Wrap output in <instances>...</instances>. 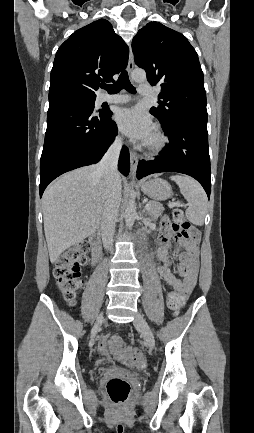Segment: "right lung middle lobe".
<instances>
[{"instance_id":"obj_1","label":"right lung middle lobe","mask_w":254,"mask_h":433,"mask_svg":"<svg viewBox=\"0 0 254 433\" xmlns=\"http://www.w3.org/2000/svg\"><path fill=\"white\" fill-rule=\"evenodd\" d=\"M73 100L88 104L92 108H94L95 98H92V99H73Z\"/></svg>"}]
</instances>
